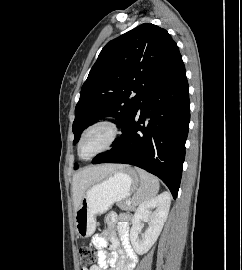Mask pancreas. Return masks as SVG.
Here are the masks:
<instances>
[{"instance_id": "pancreas-1", "label": "pancreas", "mask_w": 242, "mask_h": 270, "mask_svg": "<svg viewBox=\"0 0 242 270\" xmlns=\"http://www.w3.org/2000/svg\"><path fill=\"white\" fill-rule=\"evenodd\" d=\"M127 202H130V204H128ZM120 207L126 211H134L135 210V203L133 202V204H131V201L128 200L125 203L120 204Z\"/></svg>"}]
</instances>
